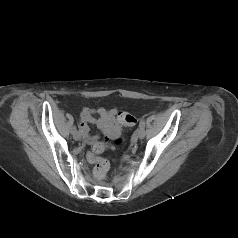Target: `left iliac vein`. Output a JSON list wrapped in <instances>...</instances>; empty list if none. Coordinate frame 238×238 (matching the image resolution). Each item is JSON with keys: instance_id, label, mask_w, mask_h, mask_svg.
<instances>
[{"instance_id": "4c4485c4", "label": "left iliac vein", "mask_w": 238, "mask_h": 238, "mask_svg": "<svg viewBox=\"0 0 238 238\" xmlns=\"http://www.w3.org/2000/svg\"><path fill=\"white\" fill-rule=\"evenodd\" d=\"M144 136H145L144 128L138 129V130H137V137L140 138V139H142V138H144Z\"/></svg>"}]
</instances>
